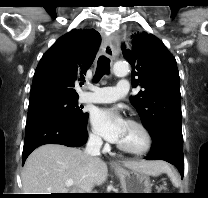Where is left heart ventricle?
<instances>
[{"label": "left heart ventricle", "instance_id": "obj_1", "mask_svg": "<svg viewBox=\"0 0 208 198\" xmlns=\"http://www.w3.org/2000/svg\"><path fill=\"white\" fill-rule=\"evenodd\" d=\"M118 143L129 148L138 149L144 145V138L137 127L127 123Z\"/></svg>", "mask_w": 208, "mask_h": 198}]
</instances>
